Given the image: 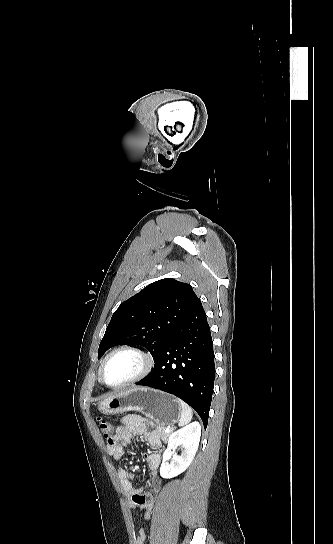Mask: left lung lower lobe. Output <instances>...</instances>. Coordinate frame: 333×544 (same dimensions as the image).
Masks as SVG:
<instances>
[{
    "instance_id": "left-lung-lower-lobe-1",
    "label": "left lung lower lobe",
    "mask_w": 333,
    "mask_h": 544,
    "mask_svg": "<svg viewBox=\"0 0 333 544\" xmlns=\"http://www.w3.org/2000/svg\"><path fill=\"white\" fill-rule=\"evenodd\" d=\"M214 378L211 332L198 300L163 347L152 373L136 384L179 397L199 414L206 428Z\"/></svg>"
}]
</instances>
